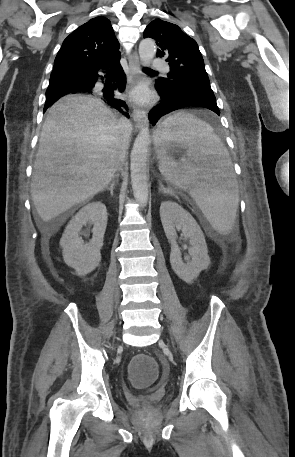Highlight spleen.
<instances>
[{"mask_svg": "<svg viewBox=\"0 0 295 457\" xmlns=\"http://www.w3.org/2000/svg\"><path fill=\"white\" fill-rule=\"evenodd\" d=\"M170 142L187 148L179 162L159 159V170L171 184L187 190L202 213L221 235L231 232L239 203L232 162L221 139L202 119L178 112L164 120L155 135L156 152L165 155Z\"/></svg>", "mask_w": 295, "mask_h": 457, "instance_id": "3e777b00", "label": "spleen"}]
</instances>
